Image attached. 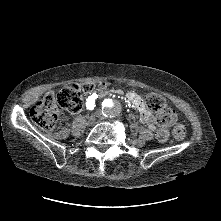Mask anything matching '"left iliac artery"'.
Instances as JSON below:
<instances>
[{
	"mask_svg": "<svg viewBox=\"0 0 221 221\" xmlns=\"http://www.w3.org/2000/svg\"><path fill=\"white\" fill-rule=\"evenodd\" d=\"M103 106L111 107L113 106L111 99H105L102 103Z\"/></svg>",
	"mask_w": 221,
	"mask_h": 221,
	"instance_id": "obj_1",
	"label": "left iliac artery"
}]
</instances>
